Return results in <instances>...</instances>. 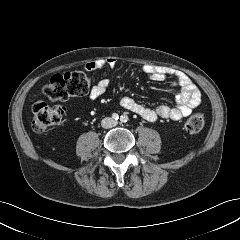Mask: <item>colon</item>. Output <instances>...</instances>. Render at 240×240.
Segmentation results:
<instances>
[{"mask_svg": "<svg viewBox=\"0 0 240 240\" xmlns=\"http://www.w3.org/2000/svg\"><path fill=\"white\" fill-rule=\"evenodd\" d=\"M90 78L84 72L75 71L53 76L43 87V94L52 102L66 100L70 97L84 96L90 89ZM66 114L64 107L49 105L45 102L33 106L32 128L36 132H44L58 125ZM204 117L201 114L191 116L185 124V130L198 133L204 127Z\"/></svg>", "mask_w": 240, "mask_h": 240, "instance_id": "5ec220e1", "label": "colon"}]
</instances>
